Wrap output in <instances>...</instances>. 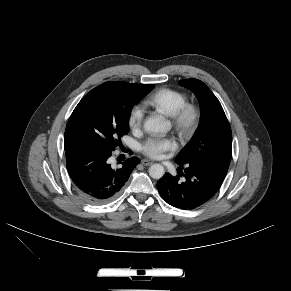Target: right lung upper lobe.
<instances>
[{"instance_id": "right-lung-upper-lobe-1", "label": "right lung upper lobe", "mask_w": 291, "mask_h": 291, "mask_svg": "<svg viewBox=\"0 0 291 291\" xmlns=\"http://www.w3.org/2000/svg\"><path fill=\"white\" fill-rule=\"evenodd\" d=\"M138 85L139 84H130L126 82H109V83L100 85L98 87L110 86L112 88L111 91L113 95L118 96V95L125 94L127 92L135 90Z\"/></svg>"}]
</instances>
